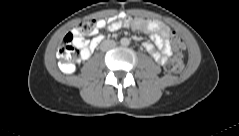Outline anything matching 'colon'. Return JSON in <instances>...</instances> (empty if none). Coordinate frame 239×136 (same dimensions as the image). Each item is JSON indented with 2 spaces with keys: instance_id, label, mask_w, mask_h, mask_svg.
Here are the masks:
<instances>
[{
  "instance_id": "1",
  "label": "colon",
  "mask_w": 239,
  "mask_h": 136,
  "mask_svg": "<svg viewBox=\"0 0 239 136\" xmlns=\"http://www.w3.org/2000/svg\"><path fill=\"white\" fill-rule=\"evenodd\" d=\"M96 27L97 21L95 19H87L78 24L77 33L80 35H91L96 30ZM171 46L175 55L168 60L165 69L169 73H180L183 69L182 52L185 49V43L183 38L175 32L171 36ZM79 53V46L75 42V35L68 33L58 49L59 64L64 72L71 73L75 70Z\"/></svg>"
}]
</instances>
